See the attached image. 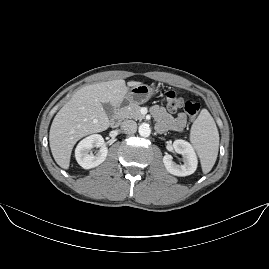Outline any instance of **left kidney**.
<instances>
[{
	"label": "left kidney",
	"instance_id": "obj_1",
	"mask_svg": "<svg viewBox=\"0 0 269 269\" xmlns=\"http://www.w3.org/2000/svg\"><path fill=\"white\" fill-rule=\"evenodd\" d=\"M173 149L176 153L183 156L184 164L179 165L173 161V157L166 154L163 157V163L166 170L175 176H188L193 174L197 169V156L192 145L185 140H175Z\"/></svg>",
	"mask_w": 269,
	"mask_h": 269
}]
</instances>
